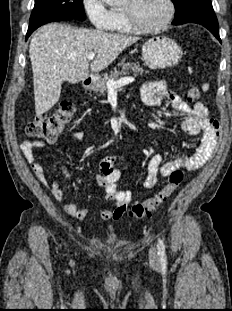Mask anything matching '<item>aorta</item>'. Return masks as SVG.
I'll return each instance as SVG.
<instances>
[{
    "label": "aorta",
    "mask_w": 232,
    "mask_h": 311,
    "mask_svg": "<svg viewBox=\"0 0 232 311\" xmlns=\"http://www.w3.org/2000/svg\"><path fill=\"white\" fill-rule=\"evenodd\" d=\"M103 1L107 3L108 5H115L120 2V0H103Z\"/></svg>",
    "instance_id": "obj_1"
}]
</instances>
